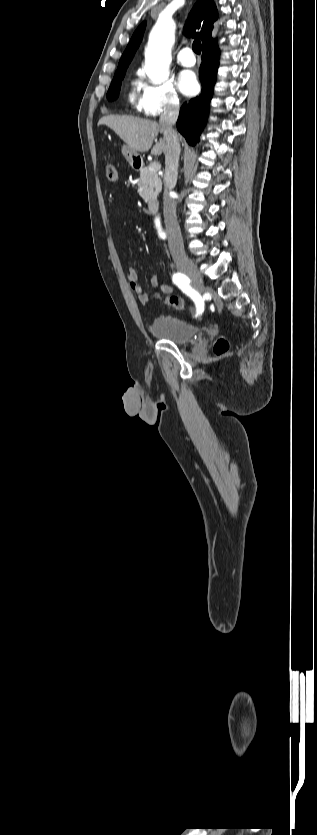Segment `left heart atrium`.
Listing matches in <instances>:
<instances>
[{
  "label": "left heart atrium",
  "mask_w": 317,
  "mask_h": 835,
  "mask_svg": "<svg viewBox=\"0 0 317 835\" xmlns=\"http://www.w3.org/2000/svg\"><path fill=\"white\" fill-rule=\"evenodd\" d=\"M178 87L185 95L190 96L195 94L199 89L195 74L191 71L181 72L178 78Z\"/></svg>",
  "instance_id": "39dd6f15"
}]
</instances>
